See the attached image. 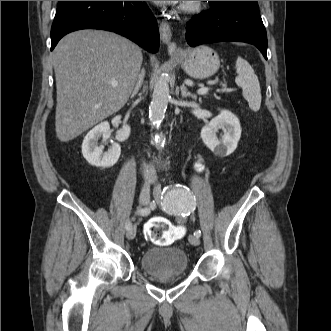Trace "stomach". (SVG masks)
I'll use <instances>...</instances> for the list:
<instances>
[{
	"label": "stomach",
	"instance_id": "1",
	"mask_svg": "<svg viewBox=\"0 0 331 331\" xmlns=\"http://www.w3.org/2000/svg\"><path fill=\"white\" fill-rule=\"evenodd\" d=\"M180 59L183 70L195 79L209 78L220 66L218 54L206 45L182 52Z\"/></svg>",
	"mask_w": 331,
	"mask_h": 331
}]
</instances>
